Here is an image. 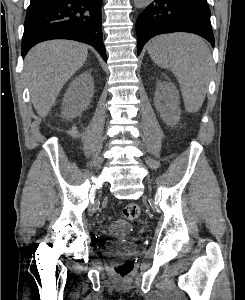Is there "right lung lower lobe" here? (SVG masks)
<instances>
[{
    "label": "right lung lower lobe",
    "instance_id": "98d812e1",
    "mask_svg": "<svg viewBox=\"0 0 245 300\" xmlns=\"http://www.w3.org/2000/svg\"><path fill=\"white\" fill-rule=\"evenodd\" d=\"M101 4L102 0L31 1L24 24L22 56L39 42L71 39L93 46L106 61Z\"/></svg>",
    "mask_w": 245,
    "mask_h": 300
}]
</instances>
